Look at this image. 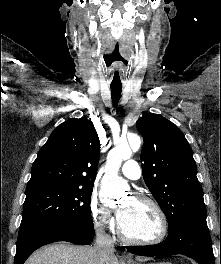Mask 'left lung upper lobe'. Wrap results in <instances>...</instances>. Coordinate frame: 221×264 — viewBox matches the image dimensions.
I'll return each mask as SVG.
<instances>
[{"label":"left lung upper lobe","instance_id":"left-lung-upper-lobe-1","mask_svg":"<svg viewBox=\"0 0 221 264\" xmlns=\"http://www.w3.org/2000/svg\"><path fill=\"white\" fill-rule=\"evenodd\" d=\"M136 127L144 138L140 157L143 178L165 213L169 228L206 223L203 190L184 134L159 114L142 116Z\"/></svg>","mask_w":221,"mask_h":264}]
</instances>
